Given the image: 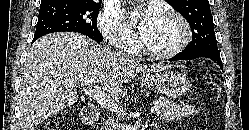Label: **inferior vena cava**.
<instances>
[{
    "mask_svg": "<svg viewBox=\"0 0 249 130\" xmlns=\"http://www.w3.org/2000/svg\"><path fill=\"white\" fill-rule=\"evenodd\" d=\"M117 57H118V60L120 62H129L130 59L129 57L127 56V54L125 52H123L122 50L121 51H118L116 53ZM105 130H116L117 129V125L114 123V120L109 118L107 121H105Z\"/></svg>",
    "mask_w": 249,
    "mask_h": 130,
    "instance_id": "602c4592",
    "label": "inferior vena cava"
}]
</instances>
